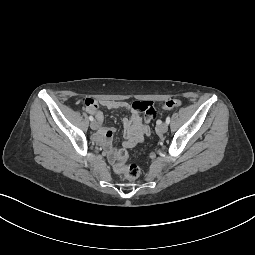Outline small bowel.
Listing matches in <instances>:
<instances>
[{
  "label": "small bowel",
  "instance_id": "c3829d8e",
  "mask_svg": "<svg viewBox=\"0 0 255 255\" xmlns=\"http://www.w3.org/2000/svg\"><path fill=\"white\" fill-rule=\"evenodd\" d=\"M99 104L103 105L108 109L126 108L132 112L129 118H125L123 120L124 135L126 138L123 145L125 147L134 146L136 143L140 142L143 139V137L148 136L150 134V128L147 124H145L142 121L139 111L145 113L146 122L152 120L156 116L157 111L151 102L135 101L131 105L124 101L108 100L102 101L101 103L97 101V103L93 106H86V111L95 115L97 122L100 125V129L97 133V139L105 143L107 146H110V143L114 135V129L101 126L102 123L104 122V115L99 110ZM110 160L111 162L114 161L112 151H110Z\"/></svg>",
  "mask_w": 255,
  "mask_h": 255
}]
</instances>
